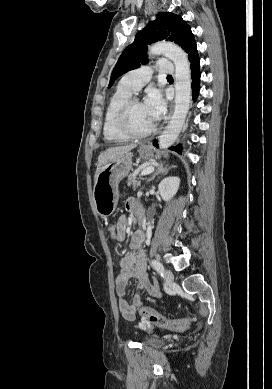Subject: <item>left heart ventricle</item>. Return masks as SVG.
I'll return each mask as SVG.
<instances>
[{
    "label": "left heart ventricle",
    "mask_w": 272,
    "mask_h": 389,
    "mask_svg": "<svg viewBox=\"0 0 272 389\" xmlns=\"http://www.w3.org/2000/svg\"><path fill=\"white\" fill-rule=\"evenodd\" d=\"M130 121L133 130L136 132H144L154 125V122L148 115L143 103H136L133 105Z\"/></svg>",
    "instance_id": "obj_1"
}]
</instances>
